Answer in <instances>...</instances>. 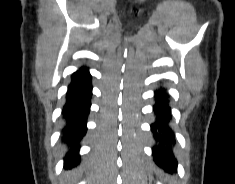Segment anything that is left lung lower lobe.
Instances as JSON below:
<instances>
[{"mask_svg": "<svg viewBox=\"0 0 235 184\" xmlns=\"http://www.w3.org/2000/svg\"><path fill=\"white\" fill-rule=\"evenodd\" d=\"M155 98L157 100L154 106L156 121L151 124V131L158 145L153 148V158L160 168L173 173L177 170V160L174 158L170 147V144L174 143L175 140L173 132L168 126V121L171 118L169 108L163 103L166 100V94L160 89Z\"/></svg>", "mask_w": 235, "mask_h": 184, "instance_id": "left-lung-lower-lobe-1", "label": "left lung lower lobe"}]
</instances>
